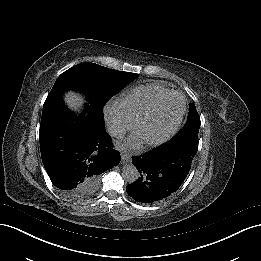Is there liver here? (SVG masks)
Segmentation results:
<instances>
[{
  "label": "liver",
  "mask_w": 261,
  "mask_h": 261,
  "mask_svg": "<svg viewBox=\"0 0 261 261\" xmlns=\"http://www.w3.org/2000/svg\"><path fill=\"white\" fill-rule=\"evenodd\" d=\"M64 101L68 108L74 111H80V109L83 107V104L85 103L84 97L74 91H68L65 93Z\"/></svg>",
  "instance_id": "1"
}]
</instances>
